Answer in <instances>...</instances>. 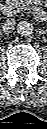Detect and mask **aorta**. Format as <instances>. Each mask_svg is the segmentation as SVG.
Returning a JSON list of instances; mask_svg holds the SVG:
<instances>
[{
	"instance_id": "762f6f07",
	"label": "aorta",
	"mask_w": 47,
	"mask_h": 129,
	"mask_svg": "<svg viewBox=\"0 0 47 129\" xmlns=\"http://www.w3.org/2000/svg\"><path fill=\"white\" fill-rule=\"evenodd\" d=\"M17 32L21 36H30L34 32V25L29 21H20L17 25Z\"/></svg>"
}]
</instances>
